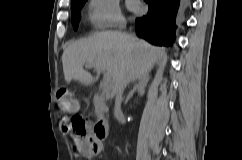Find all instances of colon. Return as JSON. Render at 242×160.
<instances>
[{"mask_svg":"<svg viewBox=\"0 0 242 160\" xmlns=\"http://www.w3.org/2000/svg\"><path fill=\"white\" fill-rule=\"evenodd\" d=\"M57 105L61 112L70 113L75 112V105L69 89L61 87L57 92ZM63 124L66 130L75 138L83 137L86 132L87 122L79 114L74 113L71 116L63 118ZM100 152V143L97 141L91 142V149L88 156H95Z\"/></svg>","mask_w":242,"mask_h":160,"instance_id":"1","label":"colon"}]
</instances>
